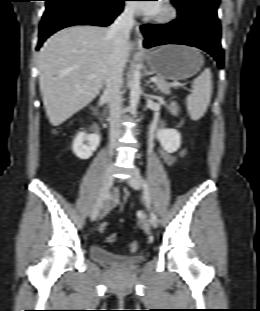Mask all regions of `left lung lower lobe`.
Segmentation results:
<instances>
[{
	"mask_svg": "<svg viewBox=\"0 0 260 311\" xmlns=\"http://www.w3.org/2000/svg\"><path fill=\"white\" fill-rule=\"evenodd\" d=\"M145 37L144 46L185 44L200 48L211 54L223 66L224 53L220 44L221 27L218 20L201 12L179 14L168 24L141 26Z\"/></svg>",
	"mask_w": 260,
	"mask_h": 311,
	"instance_id": "0a47b994",
	"label": "left lung lower lobe"
}]
</instances>
